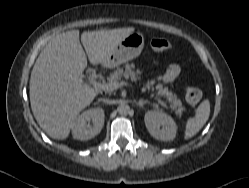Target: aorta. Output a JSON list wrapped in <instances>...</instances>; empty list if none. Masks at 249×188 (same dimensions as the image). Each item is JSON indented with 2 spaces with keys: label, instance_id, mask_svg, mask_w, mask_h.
<instances>
[{
  "label": "aorta",
  "instance_id": "aorta-1",
  "mask_svg": "<svg viewBox=\"0 0 249 188\" xmlns=\"http://www.w3.org/2000/svg\"><path fill=\"white\" fill-rule=\"evenodd\" d=\"M129 111H130V107L125 103L121 104L118 107V112L120 115H127L129 113Z\"/></svg>",
  "mask_w": 249,
  "mask_h": 188
}]
</instances>
